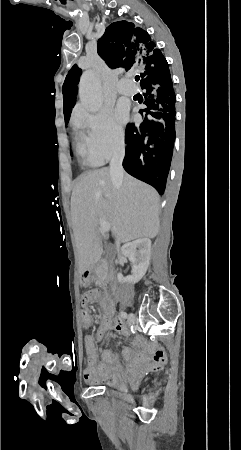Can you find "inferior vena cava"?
I'll return each instance as SVG.
<instances>
[{"mask_svg": "<svg viewBox=\"0 0 241 450\" xmlns=\"http://www.w3.org/2000/svg\"><path fill=\"white\" fill-rule=\"evenodd\" d=\"M124 156H125V148L123 144L122 148H120V150H118V152L114 154L109 166L111 180L116 190H119V188H121L123 178L125 176V172L122 166Z\"/></svg>", "mask_w": 241, "mask_h": 450, "instance_id": "602c4592", "label": "inferior vena cava"}]
</instances>
